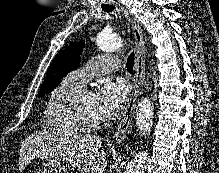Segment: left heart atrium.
Wrapping results in <instances>:
<instances>
[{
	"instance_id": "39dd6f15",
	"label": "left heart atrium",
	"mask_w": 219,
	"mask_h": 173,
	"mask_svg": "<svg viewBox=\"0 0 219 173\" xmlns=\"http://www.w3.org/2000/svg\"><path fill=\"white\" fill-rule=\"evenodd\" d=\"M128 96V87L123 81H105L95 95V103L102 120L118 114Z\"/></svg>"
}]
</instances>
